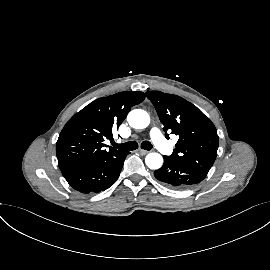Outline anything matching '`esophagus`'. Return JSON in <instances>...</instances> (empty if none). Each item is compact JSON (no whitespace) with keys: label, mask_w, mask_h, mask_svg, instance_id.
I'll use <instances>...</instances> for the list:
<instances>
[{"label":"esophagus","mask_w":270,"mask_h":270,"mask_svg":"<svg viewBox=\"0 0 270 270\" xmlns=\"http://www.w3.org/2000/svg\"><path fill=\"white\" fill-rule=\"evenodd\" d=\"M138 152L141 154V155H146L148 153L147 150H143V149H139Z\"/></svg>","instance_id":"esophagus-1"}]
</instances>
